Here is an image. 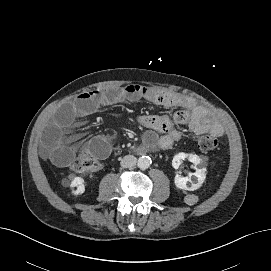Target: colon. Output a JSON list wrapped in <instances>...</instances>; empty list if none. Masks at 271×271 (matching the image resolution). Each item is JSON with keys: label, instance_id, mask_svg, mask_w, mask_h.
<instances>
[{"label": "colon", "instance_id": "5ec220e1", "mask_svg": "<svg viewBox=\"0 0 271 271\" xmlns=\"http://www.w3.org/2000/svg\"><path fill=\"white\" fill-rule=\"evenodd\" d=\"M199 148L202 151H211L217 148L218 140L213 135H204L198 140ZM101 168V163L97 157L87 150L81 151L70 165L71 171L75 173H85L97 171Z\"/></svg>", "mask_w": 271, "mask_h": 271}]
</instances>
